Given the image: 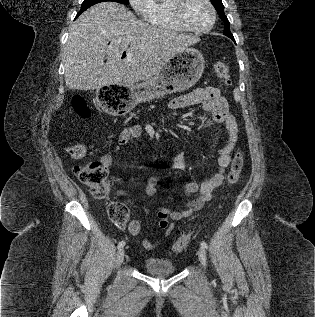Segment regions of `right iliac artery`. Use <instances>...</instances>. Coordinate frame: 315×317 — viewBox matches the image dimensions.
I'll return each mask as SVG.
<instances>
[{
	"label": "right iliac artery",
	"mask_w": 315,
	"mask_h": 317,
	"mask_svg": "<svg viewBox=\"0 0 315 317\" xmlns=\"http://www.w3.org/2000/svg\"><path fill=\"white\" fill-rule=\"evenodd\" d=\"M124 245H125V241H121V242L118 244V249L123 248Z\"/></svg>",
	"instance_id": "82829eb1"
}]
</instances>
